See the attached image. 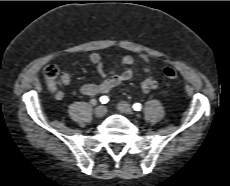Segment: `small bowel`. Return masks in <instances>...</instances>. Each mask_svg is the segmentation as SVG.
Listing matches in <instances>:
<instances>
[{
	"label": "small bowel",
	"instance_id": "obj_1",
	"mask_svg": "<svg viewBox=\"0 0 230 186\" xmlns=\"http://www.w3.org/2000/svg\"><path fill=\"white\" fill-rule=\"evenodd\" d=\"M141 62L144 72V77L141 79L140 87L144 93H149L158 87L157 80L150 73V61L148 57L141 55L138 57ZM89 61L95 65L96 71L101 79L99 83H87L81 86L80 92L86 96H94L109 92L111 89L119 86L121 83L129 81L134 76V65L137 59L133 56L127 55L122 58L121 65L122 71H110L109 74L105 71L104 64L101 56L97 52L89 54ZM71 82V75L68 71L64 70L60 74L59 83L67 85ZM56 99L62 100L64 94L62 91H57L55 94Z\"/></svg>",
	"mask_w": 230,
	"mask_h": 186
}]
</instances>
